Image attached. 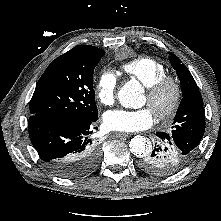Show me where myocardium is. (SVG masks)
Here are the masks:
<instances>
[{
    "label": "myocardium",
    "mask_w": 221,
    "mask_h": 221,
    "mask_svg": "<svg viewBox=\"0 0 221 221\" xmlns=\"http://www.w3.org/2000/svg\"><path fill=\"white\" fill-rule=\"evenodd\" d=\"M165 91H170L171 97L165 107L154 110L156 116L161 120L171 118L179 109L182 100V86L178 78L165 75L153 84L146 87L147 95L151 103H156Z\"/></svg>",
    "instance_id": "f54148a6"
}]
</instances>
